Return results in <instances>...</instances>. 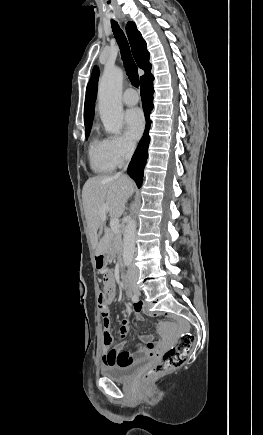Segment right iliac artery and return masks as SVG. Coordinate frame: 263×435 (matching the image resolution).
<instances>
[{"instance_id":"82829eb1","label":"right iliac artery","mask_w":263,"mask_h":435,"mask_svg":"<svg viewBox=\"0 0 263 435\" xmlns=\"http://www.w3.org/2000/svg\"><path fill=\"white\" fill-rule=\"evenodd\" d=\"M131 299L133 302H137L138 301V296L135 294H131Z\"/></svg>"}]
</instances>
